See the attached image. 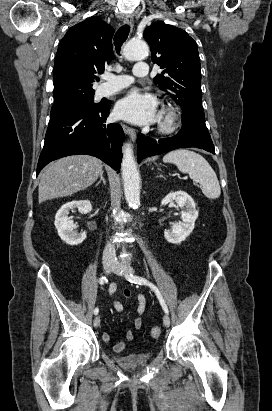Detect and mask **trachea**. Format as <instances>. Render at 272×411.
<instances>
[{"label": "trachea", "mask_w": 272, "mask_h": 411, "mask_svg": "<svg viewBox=\"0 0 272 411\" xmlns=\"http://www.w3.org/2000/svg\"><path fill=\"white\" fill-rule=\"evenodd\" d=\"M130 32L129 25H124L118 29L114 36V45L116 47V51L119 54L122 44L126 41Z\"/></svg>", "instance_id": "3493384b"}]
</instances>
